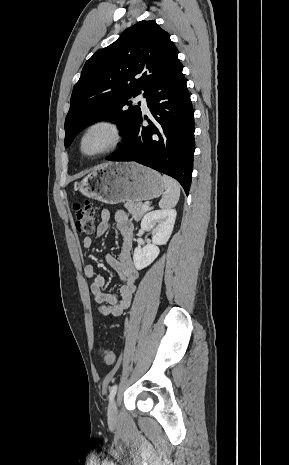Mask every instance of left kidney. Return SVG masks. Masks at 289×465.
<instances>
[{"label": "left kidney", "instance_id": "left-kidney-1", "mask_svg": "<svg viewBox=\"0 0 289 465\" xmlns=\"http://www.w3.org/2000/svg\"><path fill=\"white\" fill-rule=\"evenodd\" d=\"M176 211L173 209L155 210L144 215L141 221V229L149 231L153 227L152 244L134 250L133 261L135 268L141 270L149 266L159 255L158 245H164L169 240L176 219Z\"/></svg>", "mask_w": 289, "mask_h": 465}]
</instances>
